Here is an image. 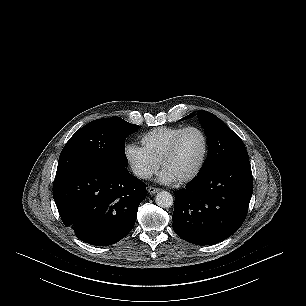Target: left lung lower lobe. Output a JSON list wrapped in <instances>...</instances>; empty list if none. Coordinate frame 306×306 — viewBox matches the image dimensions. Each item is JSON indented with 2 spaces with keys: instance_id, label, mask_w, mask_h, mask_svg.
I'll return each mask as SVG.
<instances>
[{
  "instance_id": "left-lung-lower-lobe-1",
  "label": "left lung lower lobe",
  "mask_w": 306,
  "mask_h": 306,
  "mask_svg": "<svg viewBox=\"0 0 306 306\" xmlns=\"http://www.w3.org/2000/svg\"><path fill=\"white\" fill-rule=\"evenodd\" d=\"M253 193L249 160L234 161L199 173L175 193L173 229L196 245L221 242L244 222Z\"/></svg>"
}]
</instances>
